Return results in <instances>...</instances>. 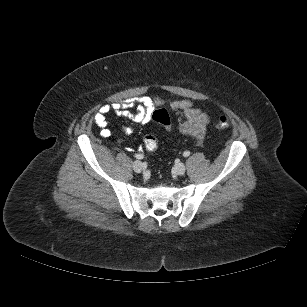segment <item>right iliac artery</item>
<instances>
[{"label":"right iliac artery","mask_w":307,"mask_h":307,"mask_svg":"<svg viewBox=\"0 0 307 307\" xmlns=\"http://www.w3.org/2000/svg\"><path fill=\"white\" fill-rule=\"evenodd\" d=\"M135 157H136L137 159H143L144 156H143L142 154H136Z\"/></svg>","instance_id":"1"}]
</instances>
